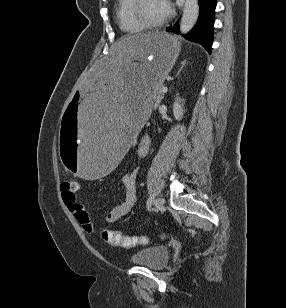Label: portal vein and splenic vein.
<instances>
[{
  "label": "portal vein and splenic vein",
  "instance_id": "portal-vein-and-splenic-vein-1",
  "mask_svg": "<svg viewBox=\"0 0 286 308\" xmlns=\"http://www.w3.org/2000/svg\"><path fill=\"white\" fill-rule=\"evenodd\" d=\"M167 87H162V89H161V91L163 92V93H166L167 92Z\"/></svg>",
  "mask_w": 286,
  "mask_h": 308
}]
</instances>
